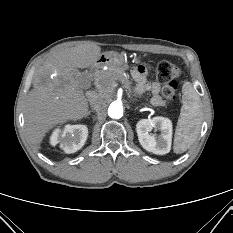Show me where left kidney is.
Instances as JSON below:
<instances>
[{"instance_id":"1","label":"left kidney","mask_w":233,"mask_h":233,"mask_svg":"<svg viewBox=\"0 0 233 233\" xmlns=\"http://www.w3.org/2000/svg\"><path fill=\"white\" fill-rule=\"evenodd\" d=\"M152 129L159 130V136L150 134ZM136 132L141 146L154 154L165 155L171 150L172 122L165 117L141 119L136 124Z\"/></svg>"}]
</instances>
